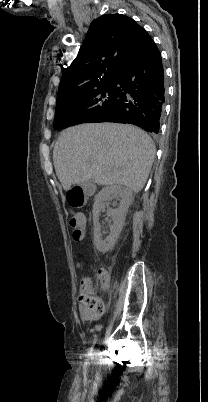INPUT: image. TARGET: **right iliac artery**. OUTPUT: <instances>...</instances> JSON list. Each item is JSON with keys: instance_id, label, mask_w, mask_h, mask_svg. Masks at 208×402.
Returning a JSON list of instances; mask_svg holds the SVG:
<instances>
[{"instance_id": "obj_1", "label": "right iliac artery", "mask_w": 208, "mask_h": 402, "mask_svg": "<svg viewBox=\"0 0 208 402\" xmlns=\"http://www.w3.org/2000/svg\"><path fill=\"white\" fill-rule=\"evenodd\" d=\"M96 342H97V335L95 336L94 341H93V346L90 348V351L88 353L89 356H92L93 350H94V345L96 344Z\"/></svg>"}]
</instances>
